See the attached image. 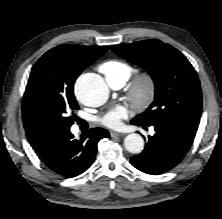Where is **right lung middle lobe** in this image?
Wrapping results in <instances>:
<instances>
[{"mask_svg": "<svg viewBox=\"0 0 222 219\" xmlns=\"http://www.w3.org/2000/svg\"><path fill=\"white\" fill-rule=\"evenodd\" d=\"M65 59L46 52L33 66L23 97V121L66 132L73 124L71 110L78 109L72 88L60 82Z\"/></svg>", "mask_w": 222, "mask_h": 219, "instance_id": "right-lung-middle-lobe-1", "label": "right lung middle lobe"}]
</instances>
